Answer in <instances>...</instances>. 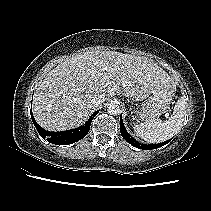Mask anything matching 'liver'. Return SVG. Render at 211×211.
<instances>
[{"instance_id": "liver-1", "label": "liver", "mask_w": 211, "mask_h": 211, "mask_svg": "<svg viewBox=\"0 0 211 211\" xmlns=\"http://www.w3.org/2000/svg\"><path fill=\"white\" fill-rule=\"evenodd\" d=\"M171 83L169 75L147 58L116 51L85 52L48 72L34 94L33 114L44 129L64 131L84 123L95 95L104 103L121 92L130 97Z\"/></svg>"}]
</instances>
